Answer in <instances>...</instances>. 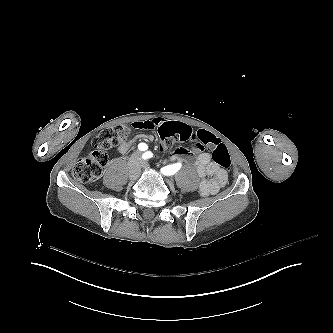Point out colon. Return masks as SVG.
I'll return each mask as SVG.
<instances>
[{
  "mask_svg": "<svg viewBox=\"0 0 333 333\" xmlns=\"http://www.w3.org/2000/svg\"><path fill=\"white\" fill-rule=\"evenodd\" d=\"M177 129L178 126L176 122L172 120L163 123L158 131L161 138L156 146L158 152L164 153L167 151V144L161 141L171 137L177 138L180 141L188 140L193 142V145L199 146L200 151H204L203 144L210 145L213 147L212 158L215 163L222 170L230 171L231 157L228 148L225 144L216 139L212 133H199L197 127L193 125H181L179 130ZM129 134V129L124 125H117L100 132L91 141L89 151L85 156L74 164L72 168L74 179L82 183H88L98 179L108 162L105 150L113 146H126L130 141ZM197 139L200 140L202 144H199Z\"/></svg>",
  "mask_w": 333,
  "mask_h": 333,
  "instance_id": "obj_1",
  "label": "colon"
}]
</instances>
